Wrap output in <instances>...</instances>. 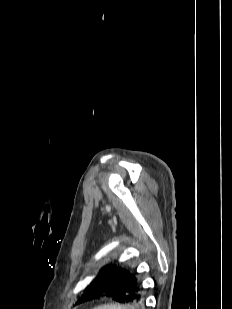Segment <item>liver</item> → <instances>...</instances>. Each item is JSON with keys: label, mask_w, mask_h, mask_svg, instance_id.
<instances>
[{"label": "liver", "mask_w": 232, "mask_h": 309, "mask_svg": "<svg viewBox=\"0 0 232 309\" xmlns=\"http://www.w3.org/2000/svg\"><path fill=\"white\" fill-rule=\"evenodd\" d=\"M93 309H130V308L127 306H122L120 304H105L95 307Z\"/></svg>", "instance_id": "liver-1"}]
</instances>
